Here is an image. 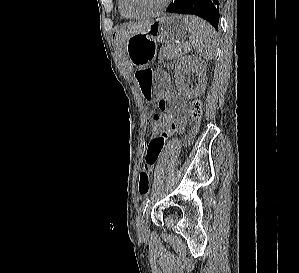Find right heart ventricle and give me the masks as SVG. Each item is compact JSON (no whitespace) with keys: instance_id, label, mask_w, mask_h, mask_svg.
Masks as SVG:
<instances>
[{"instance_id":"right-heart-ventricle-1","label":"right heart ventricle","mask_w":299,"mask_h":273,"mask_svg":"<svg viewBox=\"0 0 299 273\" xmlns=\"http://www.w3.org/2000/svg\"><path fill=\"white\" fill-rule=\"evenodd\" d=\"M119 11H120L121 16H123L124 18H129L122 12V10L120 8V2H119Z\"/></svg>"}]
</instances>
